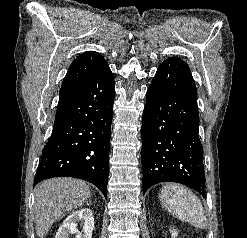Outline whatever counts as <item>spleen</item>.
Segmentation results:
<instances>
[{"label":"spleen","instance_id":"1","mask_svg":"<svg viewBox=\"0 0 247 238\" xmlns=\"http://www.w3.org/2000/svg\"><path fill=\"white\" fill-rule=\"evenodd\" d=\"M162 206L183 222L196 228H205L206 217L201 201L188 188L178 184H168L159 193Z\"/></svg>","mask_w":247,"mask_h":238}]
</instances>
